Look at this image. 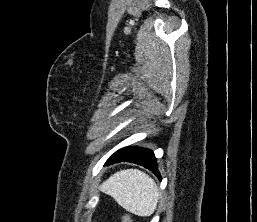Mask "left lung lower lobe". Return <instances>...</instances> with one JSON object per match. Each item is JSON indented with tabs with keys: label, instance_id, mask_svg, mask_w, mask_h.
<instances>
[{
	"label": "left lung lower lobe",
	"instance_id": "left-lung-lower-lobe-1",
	"mask_svg": "<svg viewBox=\"0 0 257 222\" xmlns=\"http://www.w3.org/2000/svg\"><path fill=\"white\" fill-rule=\"evenodd\" d=\"M117 162H133L139 164L152 171L161 180L160 173L157 168L154 153L149 149L125 147L116 151L105 163V165Z\"/></svg>",
	"mask_w": 257,
	"mask_h": 222
}]
</instances>
